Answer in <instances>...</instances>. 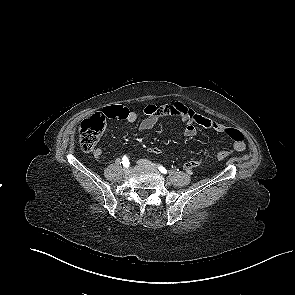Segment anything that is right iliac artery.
Segmentation results:
<instances>
[{"label": "right iliac artery", "mask_w": 295, "mask_h": 295, "mask_svg": "<svg viewBox=\"0 0 295 295\" xmlns=\"http://www.w3.org/2000/svg\"><path fill=\"white\" fill-rule=\"evenodd\" d=\"M117 162L119 163L120 159H118ZM120 163H123L124 167H129V165H130V162H129V159L127 156H123Z\"/></svg>", "instance_id": "82829eb1"}]
</instances>
